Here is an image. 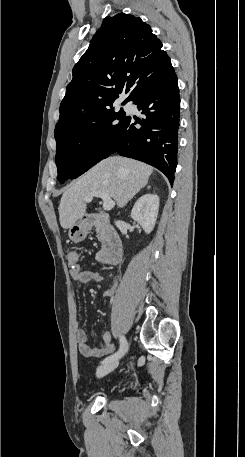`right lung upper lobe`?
<instances>
[{"label":"right lung upper lobe","instance_id":"1","mask_svg":"<svg viewBox=\"0 0 245 457\" xmlns=\"http://www.w3.org/2000/svg\"><path fill=\"white\" fill-rule=\"evenodd\" d=\"M162 43L141 18L119 13L106 17L87 51L73 68V79L60 104L59 127L108 107L122 92L171 70Z\"/></svg>","mask_w":245,"mask_h":457}]
</instances>
